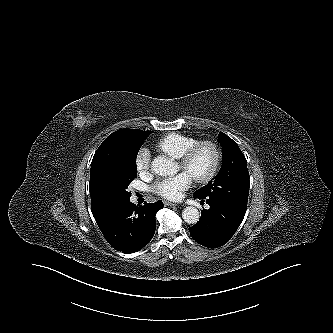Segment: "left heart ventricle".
<instances>
[{"instance_id":"left-heart-ventricle-1","label":"left heart ventricle","mask_w":333,"mask_h":333,"mask_svg":"<svg viewBox=\"0 0 333 333\" xmlns=\"http://www.w3.org/2000/svg\"><path fill=\"white\" fill-rule=\"evenodd\" d=\"M212 163V154L207 148H202L198 151L190 165L183 168L179 164V168L193 176H202L209 170Z\"/></svg>"}]
</instances>
